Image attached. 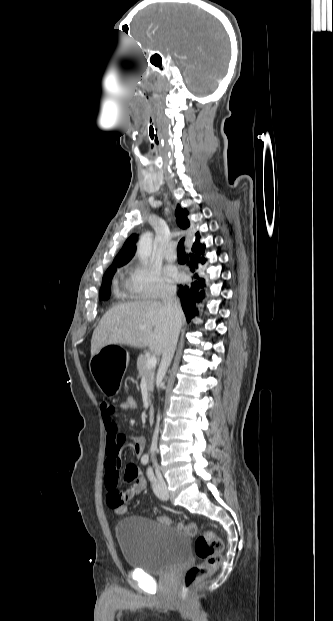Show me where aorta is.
I'll return each instance as SVG.
<instances>
[{
    "label": "aorta",
    "instance_id": "obj_1",
    "mask_svg": "<svg viewBox=\"0 0 333 621\" xmlns=\"http://www.w3.org/2000/svg\"><path fill=\"white\" fill-rule=\"evenodd\" d=\"M152 250V233H144L137 243V255L142 261H146Z\"/></svg>",
    "mask_w": 333,
    "mask_h": 621
}]
</instances>
